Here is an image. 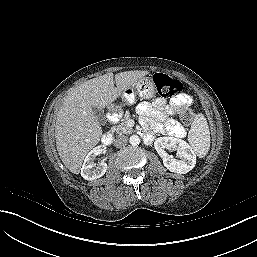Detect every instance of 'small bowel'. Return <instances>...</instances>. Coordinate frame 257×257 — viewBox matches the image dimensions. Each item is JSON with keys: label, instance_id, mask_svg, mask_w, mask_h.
I'll return each instance as SVG.
<instances>
[{"label": "small bowel", "instance_id": "1", "mask_svg": "<svg viewBox=\"0 0 257 257\" xmlns=\"http://www.w3.org/2000/svg\"><path fill=\"white\" fill-rule=\"evenodd\" d=\"M192 102L191 95L181 94L171 99L169 103L163 98H157L153 103L142 102L138 105L137 110L142 115L145 126L151 130L172 136H183L184 128L173 119L166 117ZM146 138L150 140L149 132L146 133Z\"/></svg>", "mask_w": 257, "mask_h": 257}]
</instances>
